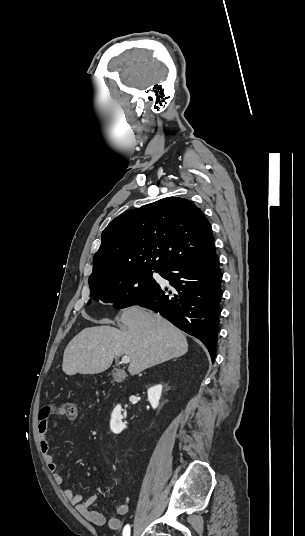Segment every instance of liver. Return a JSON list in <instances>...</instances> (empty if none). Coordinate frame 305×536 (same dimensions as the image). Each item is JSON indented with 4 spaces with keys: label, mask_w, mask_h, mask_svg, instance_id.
Returning a JSON list of instances; mask_svg holds the SVG:
<instances>
[{
    "label": "liver",
    "mask_w": 305,
    "mask_h": 536,
    "mask_svg": "<svg viewBox=\"0 0 305 536\" xmlns=\"http://www.w3.org/2000/svg\"><path fill=\"white\" fill-rule=\"evenodd\" d=\"M120 320L127 332L95 326L77 334L64 350L63 372L67 376L101 374L110 368L115 356H129L128 372L134 376L188 352L186 336L159 314L133 306L122 312ZM95 324L112 322L99 320Z\"/></svg>",
    "instance_id": "6515ba94"
}]
</instances>
